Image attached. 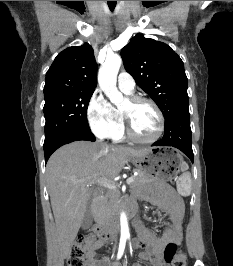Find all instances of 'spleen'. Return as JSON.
<instances>
[{"label":"spleen","instance_id":"spleen-1","mask_svg":"<svg viewBox=\"0 0 233 266\" xmlns=\"http://www.w3.org/2000/svg\"><path fill=\"white\" fill-rule=\"evenodd\" d=\"M187 163L183 162L181 164V170L184 172L178 179L177 182V191L182 196H188L191 193V176L188 172Z\"/></svg>","mask_w":233,"mask_h":266}]
</instances>
